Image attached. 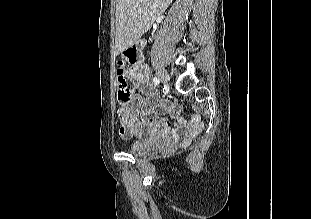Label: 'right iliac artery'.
Wrapping results in <instances>:
<instances>
[{
	"mask_svg": "<svg viewBox=\"0 0 311 219\" xmlns=\"http://www.w3.org/2000/svg\"><path fill=\"white\" fill-rule=\"evenodd\" d=\"M153 82H154L155 85H158L160 81H159V79L157 77H154L153 78Z\"/></svg>",
	"mask_w": 311,
	"mask_h": 219,
	"instance_id": "82829eb1",
	"label": "right iliac artery"
}]
</instances>
